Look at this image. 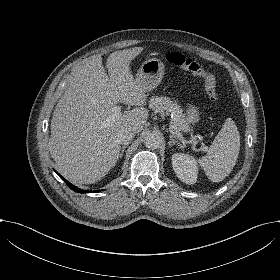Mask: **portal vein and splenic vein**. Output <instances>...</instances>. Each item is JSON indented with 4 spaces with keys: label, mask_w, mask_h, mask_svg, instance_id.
Returning <instances> with one entry per match:
<instances>
[{
    "label": "portal vein and splenic vein",
    "mask_w": 280,
    "mask_h": 280,
    "mask_svg": "<svg viewBox=\"0 0 280 280\" xmlns=\"http://www.w3.org/2000/svg\"><path fill=\"white\" fill-rule=\"evenodd\" d=\"M123 113L119 110H113V112L111 113V115H109L108 117H106L104 120H103V123L105 125H109L112 121L116 120L117 118L119 119L120 117H122ZM170 124H171V128L174 130V133H176L178 136H181L180 134V129L178 127V125L174 122H172L170 120ZM186 141V140H184ZM203 149L205 151L208 150L207 146H204Z\"/></svg>",
    "instance_id": "obj_1"
}]
</instances>
